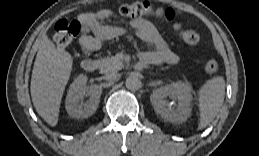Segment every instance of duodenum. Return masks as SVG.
<instances>
[{"instance_id":"obj_1","label":"duodenum","mask_w":259,"mask_h":156,"mask_svg":"<svg viewBox=\"0 0 259 156\" xmlns=\"http://www.w3.org/2000/svg\"><path fill=\"white\" fill-rule=\"evenodd\" d=\"M98 62L92 58H85L82 61V68L87 72H94L98 68Z\"/></svg>"}]
</instances>
